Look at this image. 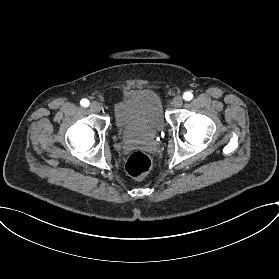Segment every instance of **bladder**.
I'll list each match as a JSON object with an SVG mask.
<instances>
[{
	"label": "bladder",
	"mask_w": 279,
	"mask_h": 279,
	"mask_svg": "<svg viewBox=\"0 0 279 279\" xmlns=\"http://www.w3.org/2000/svg\"><path fill=\"white\" fill-rule=\"evenodd\" d=\"M114 125L122 137L154 135L165 128L163 106L151 90L134 91L118 99L112 108Z\"/></svg>",
	"instance_id": "bladder-1"
}]
</instances>
